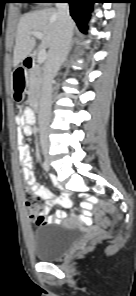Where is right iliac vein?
Masks as SVG:
<instances>
[{
    "mask_svg": "<svg viewBox=\"0 0 136 296\" xmlns=\"http://www.w3.org/2000/svg\"><path fill=\"white\" fill-rule=\"evenodd\" d=\"M46 161H47V162L49 161L48 157H46Z\"/></svg>",
    "mask_w": 136,
    "mask_h": 296,
    "instance_id": "obj_1",
    "label": "right iliac vein"
}]
</instances>
